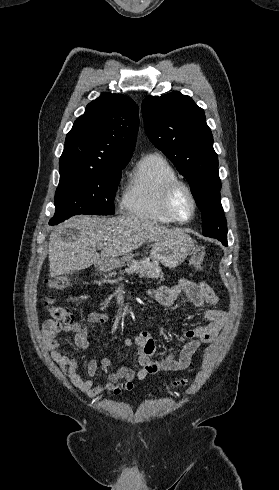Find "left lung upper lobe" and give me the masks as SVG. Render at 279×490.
I'll list each match as a JSON object with an SVG mask.
<instances>
[{
    "mask_svg": "<svg viewBox=\"0 0 279 490\" xmlns=\"http://www.w3.org/2000/svg\"><path fill=\"white\" fill-rule=\"evenodd\" d=\"M150 141L186 177L201 210L202 234L227 245V223L220 201L221 181L213 136L203 109L180 92L147 96L142 103Z\"/></svg>",
    "mask_w": 279,
    "mask_h": 490,
    "instance_id": "1",
    "label": "left lung upper lobe"
}]
</instances>
